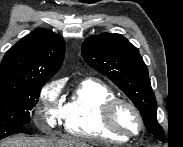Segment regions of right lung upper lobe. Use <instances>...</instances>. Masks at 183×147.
<instances>
[{
  "instance_id": "1",
  "label": "right lung upper lobe",
  "mask_w": 183,
  "mask_h": 147,
  "mask_svg": "<svg viewBox=\"0 0 183 147\" xmlns=\"http://www.w3.org/2000/svg\"><path fill=\"white\" fill-rule=\"evenodd\" d=\"M65 42L57 34L37 29L7 51L0 65V85L49 80L60 68Z\"/></svg>"
}]
</instances>
